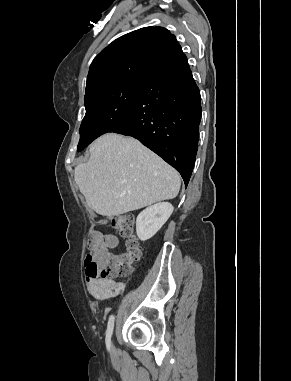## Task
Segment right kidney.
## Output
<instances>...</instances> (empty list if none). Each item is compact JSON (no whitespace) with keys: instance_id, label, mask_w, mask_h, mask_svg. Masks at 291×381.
<instances>
[{"instance_id":"obj_1","label":"right kidney","mask_w":291,"mask_h":381,"mask_svg":"<svg viewBox=\"0 0 291 381\" xmlns=\"http://www.w3.org/2000/svg\"><path fill=\"white\" fill-rule=\"evenodd\" d=\"M172 204L160 202L143 210L136 220V233L141 241L152 238L173 212Z\"/></svg>"}]
</instances>
